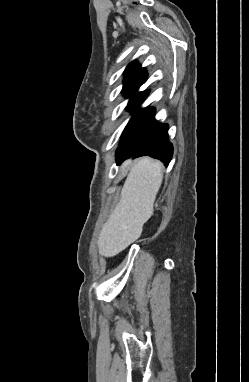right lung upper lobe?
<instances>
[{
  "mask_svg": "<svg viewBox=\"0 0 249 382\" xmlns=\"http://www.w3.org/2000/svg\"><path fill=\"white\" fill-rule=\"evenodd\" d=\"M147 73L137 63H130L125 70V80L122 92L131 97L129 103H141L148 95L147 91L137 93L139 86L146 80Z\"/></svg>",
  "mask_w": 249,
  "mask_h": 382,
  "instance_id": "cb5924a9",
  "label": "right lung upper lobe"
}]
</instances>
